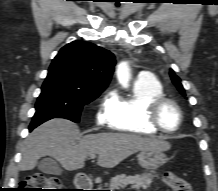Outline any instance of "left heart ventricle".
<instances>
[{
	"label": "left heart ventricle",
	"instance_id": "1",
	"mask_svg": "<svg viewBox=\"0 0 218 191\" xmlns=\"http://www.w3.org/2000/svg\"><path fill=\"white\" fill-rule=\"evenodd\" d=\"M159 121L167 130H174L179 124V114L171 104L164 105L159 113Z\"/></svg>",
	"mask_w": 218,
	"mask_h": 191
}]
</instances>
